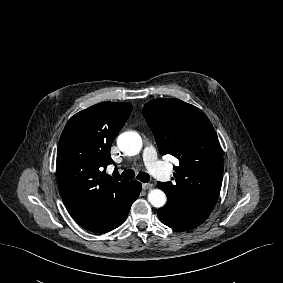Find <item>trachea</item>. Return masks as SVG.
Wrapping results in <instances>:
<instances>
[{"instance_id": "3493384b", "label": "trachea", "mask_w": 283, "mask_h": 283, "mask_svg": "<svg viewBox=\"0 0 283 283\" xmlns=\"http://www.w3.org/2000/svg\"><path fill=\"white\" fill-rule=\"evenodd\" d=\"M121 176H122V178H124L126 180H130V179L134 178L135 172L132 169H128V170L123 171ZM137 179H139L140 181H142L144 183H147L150 180V176L146 172H140L137 175Z\"/></svg>"}]
</instances>
